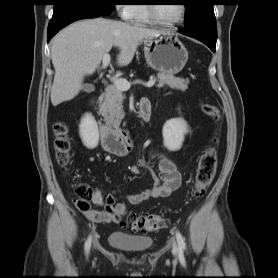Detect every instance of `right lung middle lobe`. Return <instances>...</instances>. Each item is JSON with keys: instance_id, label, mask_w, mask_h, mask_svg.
I'll use <instances>...</instances> for the list:
<instances>
[{"instance_id": "obj_1", "label": "right lung middle lobe", "mask_w": 278, "mask_h": 278, "mask_svg": "<svg viewBox=\"0 0 278 278\" xmlns=\"http://www.w3.org/2000/svg\"><path fill=\"white\" fill-rule=\"evenodd\" d=\"M112 2L113 0H53L54 11L51 20H55L61 14L72 10L109 15L111 14Z\"/></svg>"}]
</instances>
